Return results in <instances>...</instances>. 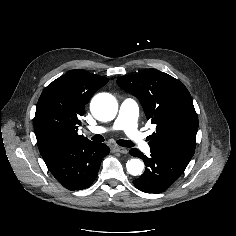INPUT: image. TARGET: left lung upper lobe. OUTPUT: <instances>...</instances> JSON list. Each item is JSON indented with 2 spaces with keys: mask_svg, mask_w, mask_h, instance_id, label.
<instances>
[{
  "mask_svg": "<svg viewBox=\"0 0 236 236\" xmlns=\"http://www.w3.org/2000/svg\"><path fill=\"white\" fill-rule=\"evenodd\" d=\"M117 83L139 99L146 118L156 124L149 146L189 163L195 152L198 117L187 88L156 69L120 77Z\"/></svg>",
  "mask_w": 236,
  "mask_h": 236,
  "instance_id": "obj_1",
  "label": "left lung upper lobe"
}]
</instances>
